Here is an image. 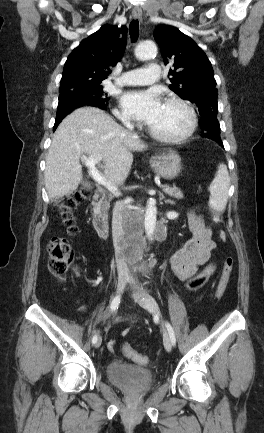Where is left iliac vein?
Here are the masks:
<instances>
[{"label":"left iliac vein","mask_w":264,"mask_h":433,"mask_svg":"<svg viewBox=\"0 0 264 433\" xmlns=\"http://www.w3.org/2000/svg\"><path fill=\"white\" fill-rule=\"evenodd\" d=\"M130 283L132 285H135V281L134 280H130ZM134 299L145 309H147L149 312H151L152 314L160 317V309L158 304L156 303V301L151 298L149 295L142 293V294H135L134 295ZM163 342H164V346L165 349L170 352L172 349V342L170 339V335L168 333V331L164 328L163 331Z\"/></svg>","instance_id":"4c4485c4"}]
</instances>
